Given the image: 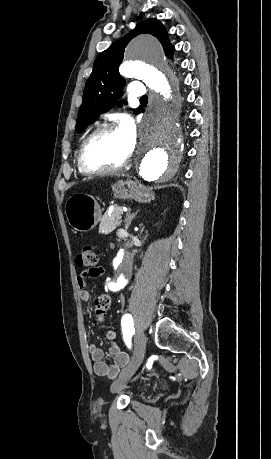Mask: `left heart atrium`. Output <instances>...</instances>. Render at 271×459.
I'll use <instances>...</instances> for the list:
<instances>
[{"instance_id": "39dd6f15", "label": "left heart atrium", "mask_w": 271, "mask_h": 459, "mask_svg": "<svg viewBox=\"0 0 271 459\" xmlns=\"http://www.w3.org/2000/svg\"><path fill=\"white\" fill-rule=\"evenodd\" d=\"M119 130L127 140L130 150L132 151L138 140L137 122L129 117H125L120 123Z\"/></svg>"}]
</instances>
